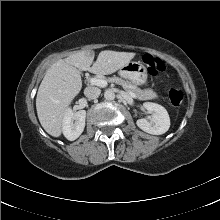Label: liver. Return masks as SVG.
I'll use <instances>...</instances> for the list:
<instances>
[{
	"label": "liver",
	"instance_id": "1",
	"mask_svg": "<svg viewBox=\"0 0 220 220\" xmlns=\"http://www.w3.org/2000/svg\"><path fill=\"white\" fill-rule=\"evenodd\" d=\"M135 55L134 52L104 50L93 63V51H78L52 64L36 97L37 115L44 130L53 137L61 135L64 115L82 88L80 70L97 75L112 74L128 64Z\"/></svg>",
	"mask_w": 220,
	"mask_h": 220
}]
</instances>
